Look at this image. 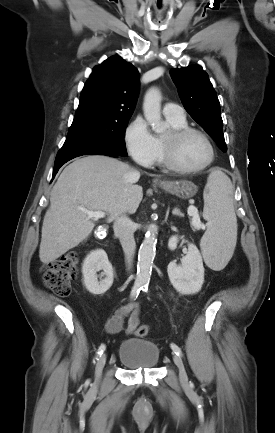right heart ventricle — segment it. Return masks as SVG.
Instances as JSON below:
<instances>
[{
    "label": "right heart ventricle",
    "instance_id": "right-heart-ventricle-1",
    "mask_svg": "<svg viewBox=\"0 0 275 433\" xmlns=\"http://www.w3.org/2000/svg\"><path fill=\"white\" fill-rule=\"evenodd\" d=\"M167 122L170 125V127L172 129H178V128H182V127H186L187 126V122L186 119H172V118H167ZM157 139V143H158V147H159V152H158V156L156 161L158 163H163V147H162V138H156Z\"/></svg>",
    "mask_w": 275,
    "mask_h": 433
}]
</instances>
